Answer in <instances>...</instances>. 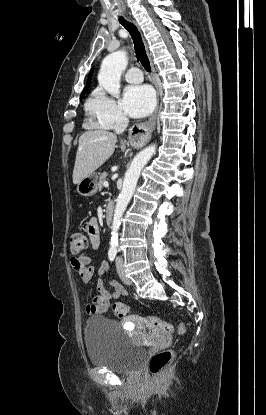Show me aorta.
<instances>
[{"label":"aorta","mask_w":266,"mask_h":415,"mask_svg":"<svg viewBox=\"0 0 266 415\" xmlns=\"http://www.w3.org/2000/svg\"><path fill=\"white\" fill-rule=\"evenodd\" d=\"M127 66V53L124 50L115 51L104 58L98 75L99 84L112 96L120 93V78ZM156 151V145H151L140 151L133 159L125 173L123 187L119 194L114 210L111 226L110 249L116 251L118 247V230L122 216L135 191L143 167L148 163Z\"/></svg>","instance_id":"1"}]
</instances>
